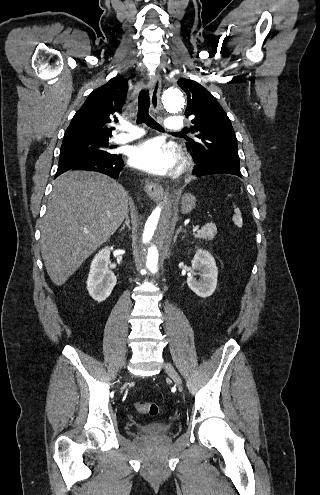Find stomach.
Instances as JSON below:
<instances>
[{
  "instance_id": "1",
  "label": "stomach",
  "mask_w": 320,
  "mask_h": 495,
  "mask_svg": "<svg viewBox=\"0 0 320 495\" xmlns=\"http://www.w3.org/2000/svg\"><path fill=\"white\" fill-rule=\"evenodd\" d=\"M196 206V198L190 194L186 193L182 196L181 199V212L183 214L189 213Z\"/></svg>"
}]
</instances>
